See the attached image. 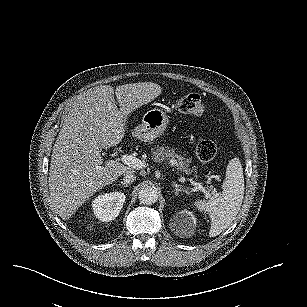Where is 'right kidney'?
<instances>
[{
	"mask_svg": "<svg viewBox=\"0 0 307 307\" xmlns=\"http://www.w3.org/2000/svg\"><path fill=\"white\" fill-rule=\"evenodd\" d=\"M126 200L121 191L102 192L91 201L93 216L102 222H110L117 218Z\"/></svg>",
	"mask_w": 307,
	"mask_h": 307,
	"instance_id": "right-kidney-1",
	"label": "right kidney"
}]
</instances>
